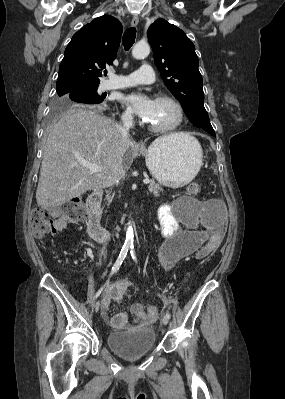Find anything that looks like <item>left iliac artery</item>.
Masks as SVG:
<instances>
[{
    "mask_svg": "<svg viewBox=\"0 0 285 399\" xmlns=\"http://www.w3.org/2000/svg\"><path fill=\"white\" fill-rule=\"evenodd\" d=\"M130 254H131V257H132V259H133V260L136 262V261H137V259H136V256H135V251H134L133 247H131ZM165 316H166L168 319H170V318H171V315H170V313H169V312H166Z\"/></svg>",
    "mask_w": 285,
    "mask_h": 399,
    "instance_id": "obj_1",
    "label": "left iliac artery"
}]
</instances>
